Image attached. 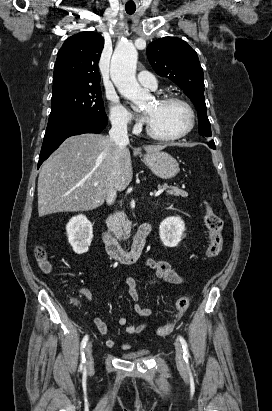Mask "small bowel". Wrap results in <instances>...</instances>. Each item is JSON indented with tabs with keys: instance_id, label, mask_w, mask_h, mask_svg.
I'll return each instance as SVG.
<instances>
[{
	"instance_id": "1",
	"label": "small bowel",
	"mask_w": 272,
	"mask_h": 411,
	"mask_svg": "<svg viewBox=\"0 0 272 411\" xmlns=\"http://www.w3.org/2000/svg\"><path fill=\"white\" fill-rule=\"evenodd\" d=\"M146 269L152 271L155 276L165 282L181 285L185 282V278L179 272H177L172 265L163 259H147L142 261L133 271H131L125 278V284L128 288L129 295L134 303V312L141 317H148L152 315V309L148 308L140 303V294L137 291L136 281L134 278V273L138 270ZM94 325L96 326L100 336L105 338L108 334V326L105 321L98 315L93 317ZM118 324L125 326L127 324V318L120 317L118 319ZM149 327L148 323L132 324L126 327V331L129 334H140ZM106 346L109 348L119 347L122 350H128L132 347L133 342H123L117 343L113 339L105 340Z\"/></svg>"
}]
</instances>
